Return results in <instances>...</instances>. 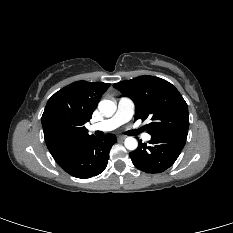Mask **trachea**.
I'll list each match as a JSON object with an SVG mask.
<instances>
[{"mask_svg":"<svg viewBox=\"0 0 233 233\" xmlns=\"http://www.w3.org/2000/svg\"><path fill=\"white\" fill-rule=\"evenodd\" d=\"M139 132H140V131H135L134 133L137 134V133H139Z\"/></svg>","mask_w":233,"mask_h":233,"instance_id":"1","label":"trachea"}]
</instances>
